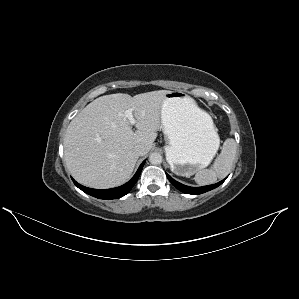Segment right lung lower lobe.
I'll return each instance as SVG.
<instances>
[{"instance_id":"right-lung-lower-lobe-1","label":"right lung lower lobe","mask_w":299,"mask_h":299,"mask_svg":"<svg viewBox=\"0 0 299 299\" xmlns=\"http://www.w3.org/2000/svg\"><path fill=\"white\" fill-rule=\"evenodd\" d=\"M144 164H145V161H143L141 163L137 172L135 173V175L131 178V180L129 182H127L126 184H124L120 187H117V188L106 189V190L91 189V188H87L85 186L80 185L73 179L72 180H73L74 184L79 189H81L83 192H85L93 197H96L99 199H117V198L123 197L132 189V187L137 182V180L140 176V173L142 171Z\"/></svg>"}]
</instances>
